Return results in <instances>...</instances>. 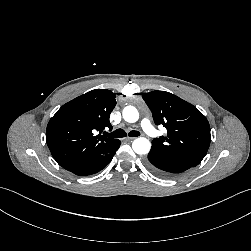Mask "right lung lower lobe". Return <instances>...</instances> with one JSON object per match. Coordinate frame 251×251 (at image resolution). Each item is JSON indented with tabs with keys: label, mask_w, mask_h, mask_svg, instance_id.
<instances>
[{
	"label": "right lung lower lobe",
	"mask_w": 251,
	"mask_h": 251,
	"mask_svg": "<svg viewBox=\"0 0 251 251\" xmlns=\"http://www.w3.org/2000/svg\"><path fill=\"white\" fill-rule=\"evenodd\" d=\"M121 142L118 141L106 154L99 156L93 162L76 167L70 172L78 176H87L102 170L113 158Z\"/></svg>",
	"instance_id": "right-lung-lower-lobe-1"
}]
</instances>
